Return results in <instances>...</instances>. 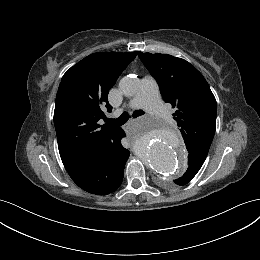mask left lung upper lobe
<instances>
[{
	"mask_svg": "<svg viewBox=\"0 0 260 260\" xmlns=\"http://www.w3.org/2000/svg\"><path fill=\"white\" fill-rule=\"evenodd\" d=\"M138 54L157 80L164 100L177 108L173 116L188 156L204 162L215 134L217 113L216 100L207 81L184 59L168 54Z\"/></svg>",
	"mask_w": 260,
	"mask_h": 260,
	"instance_id": "left-lung-upper-lobe-1",
	"label": "left lung upper lobe"
}]
</instances>
